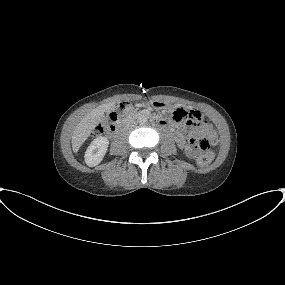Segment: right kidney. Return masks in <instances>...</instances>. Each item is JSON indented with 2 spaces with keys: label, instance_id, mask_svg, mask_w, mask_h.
<instances>
[{
  "label": "right kidney",
  "instance_id": "right-kidney-1",
  "mask_svg": "<svg viewBox=\"0 0 285 285\" xmlns=\"http://www.w3.org/2000/svg\"><path fill=\"white\" fill-rule=\"evenodd\" d=\"M109 140L106 137L94 139L85 152V162L88 166L98 165L106 154Z\"/></svg>",
  "mask_w": 285,
  "mask_h": 285
}]
</instances>
